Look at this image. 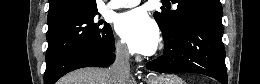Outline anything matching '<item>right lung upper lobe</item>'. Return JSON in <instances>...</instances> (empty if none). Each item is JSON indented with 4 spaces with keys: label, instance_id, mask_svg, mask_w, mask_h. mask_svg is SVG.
Segmentation results:
<instances>
[{
    "label": "right lung upper lobe",
    "instance_id": "1",
    "mask_svg": "<svg viewBox=\"0 0 260 84\" xmlns=\"http://www.w3.org/2000/svg\"><path fill=\"white\" fill-rule=\"evenodd\" d=\"M48 27L97 11L96 0H49Z\"/></svg>",
    "mask_w": 260,
    "mask_h": 84
}]
</instances>
